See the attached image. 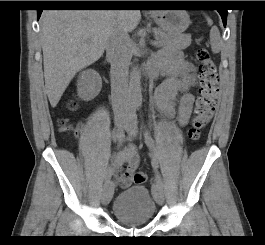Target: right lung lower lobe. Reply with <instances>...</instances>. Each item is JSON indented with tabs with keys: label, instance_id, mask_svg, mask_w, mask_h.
Returning <instances> with one entry per match:
<instances>
[{
	"label": "right lung lower lobe",
	"instance_id": "right-lung-lower-lobe-1",
	"mask_svg": "<svg viewBox=\"0 0 265 245\" xmlns=\"http://www.w3.org/2000/svg\"><path fill=\"white\" fill-rule=\"evenodd\" d=\"M52 6H79V7H118L121 1H81L80 3H54ZM42 9L37 10V18H40Z\"/></svg>",
	"mask_w": 265,
	"mask_h": 245
}]
</instances>
